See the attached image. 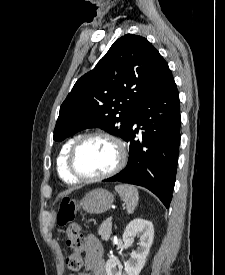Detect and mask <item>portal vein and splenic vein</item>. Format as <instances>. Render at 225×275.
<instances>
[{
  "mask_svg": "<svg viewBox=\"0 0 225 275\" xmlns=\"http://www.w3.org/2000/svg\"><path fill=\"white\" fill-rule=\"evenodd\" d=\"M112 220V217L108 218L107 221H111Z\"/></svg>",
  "mask_w": 225,
  "mask_h": 275,
  "instance_id": "portal-vein-and-splenic-vein-1",
  "label": "portal vein and splenic vein"
}]
</instances>
